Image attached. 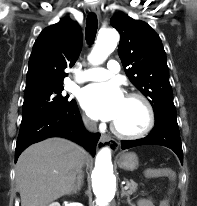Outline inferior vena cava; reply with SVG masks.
Segmentation results:
<instances>
[{"mask_svg":"<svg viewBox=\"0 0 197 206\" xmlns=\"http://www.w3.org/2000/svg\"><path fill=\"white\" fill-rule=\"evenodd\" d=\"M83 122H84V125H85V127L88 131L95 132L97 130V125L94 121H91L89 119H84ZM79 176L82 177V171L81 170L78 173V177ZM78 177H77V179H78Z\"/></svg>","mask_w":197,"mask_h":206,"instance_id":"602c4592","label":"inferior vena cava"}]
</instances>
